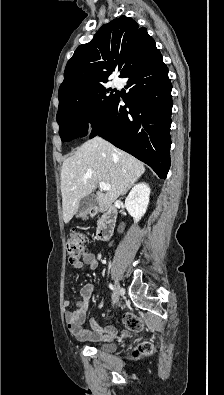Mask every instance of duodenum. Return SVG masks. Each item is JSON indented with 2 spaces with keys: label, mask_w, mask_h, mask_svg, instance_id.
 Listing matches in <instances>:
<instances>
[{
  "label": "duodenum",
  "mask_w": 224,
  "mask_h": 395,
  "mask_svg": "<svg viewBox=\"0 0 224 395\" xmlns=\"http://www.w3.org/2000/svg\"><path fill=\"white\" fill-rule=\"evenodd\" d=\"M101 213V220L96 232V237L99 241L108 240L113 236L115 220L117 217V209L115 206H106L101 210L94 209L92 215Z\"/></svg>",
  "instance_id": "obj_1"
}]
</instances>
